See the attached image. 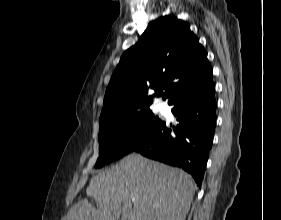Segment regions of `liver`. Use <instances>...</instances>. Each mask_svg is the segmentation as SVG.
<instances>
[{
	"mask_svg": "<svg viewBox=\"0 0 281 220\" xmlns=\"http://www.w3.org/2000/svg\"><path fill=\"white\" fill-rule=\"evenodd\" d=\"M194 193L185 171L132 153L91 179L86 194L97 208L84 199L67 220H185Z\"/></svg>",
	"mask_w": 281,
	"mask_h": 220,
	"instance_id": "liver-1",
	"label": "liver"
}]
</instances>
